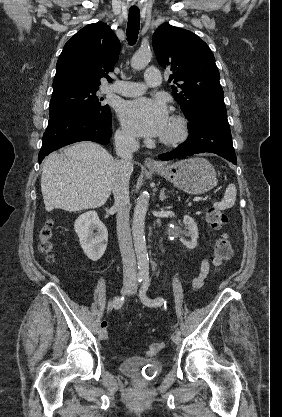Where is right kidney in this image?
Instances as JSON below:
<instances>
[{
	"label": "right kidney",
	"instance_id": "ca27d5eb",
	"mask_svg": "<svg viewBox=\"0 0 282 417\" xmlns=\"http://www.w3.org/2000/svg\"><path fill=\"white\" fill-rule=\"evenodd\" d=\"M80 245L88 259L98 261L104 255L108 243V231L96 211H87L74 223ZM98 231V233H93Z\"/></svg>",
	"mask_w": 282,
	"mask_h": 417
}]
</instances>
